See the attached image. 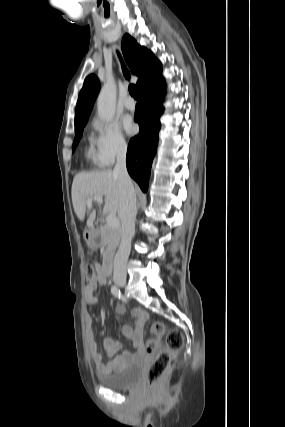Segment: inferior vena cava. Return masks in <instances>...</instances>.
<instances>
[{
	"instance_id": "inferior-vena-cava-1",
	"label": "inferior vena cava",
	"mask_w": 285,
	"mask_h": 427,
	"mask_svg": "<svg viewBox=\"0 0 285 427\" xmlns=\"http://www.w3.org/2000/svg\"><path fill=\"white\" fill-rule=\"evenodd\" d=\"M127 147L121 146L117 153L114 173L118 176L120 200L118 215L121 220V242L114 259V275H126V264L130 254L131 240L135 232L137 214L136 194L126 168Z\"/></svg>"
}]
</instances>
